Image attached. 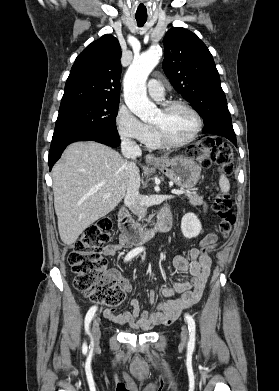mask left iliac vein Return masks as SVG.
Returning <instances> with one entry per match:
<instances>
[{"mask_svg":"<svg viewBox=\"0 0 279 391\" xmlns=\"http://www.w3.org/2000/svg\"><path fill=\"white\" fill-rule=\"evenodd\" d=\"M188 340V329L186 325H182L181 328V346L185 347Z\"/></svg>","mask_w":279,"mask_h":391,"instance_id":"4c4485c4","label":"left iliac vein"}]
</instances>
